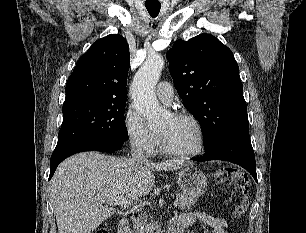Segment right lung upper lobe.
<instances>
[{"label":"right lung upper lobe","instance_id":"1","mask_svg":"<svg viewBox=\"0 0 306 233\" xmlns=\"http://www.w3.org/2000/svg\"><path fill=\"white\" fill-rule=\"evenodd\" d=\"M129 45L111 34L93 43L78 60L66 84V102L88 99L126 101Z\"/></svg>","mask_w":306,"mask_h":233}]
</instances>
